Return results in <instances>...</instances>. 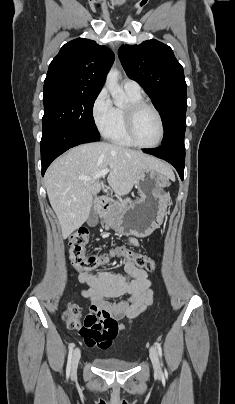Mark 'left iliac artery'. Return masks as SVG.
Returning a JSON list of instances; mask_svg holds the SVG:
<instances>
[{
  "instance_id": "44dca946",
  "label": "left iliac artery",
  "mask_w": 235,
  "mask_h": 404,
  "mask_svg": "<svg viewBox=\"0 0 235 404\" xmlns=\"http://www.w3.org/2000/svg\"><path fill=\"white\" fill-rule=\"evenodd\" d=\"M155 346H156V348H157V350H158V353H159L160 358H162V349H161L160 343H159V342H156V343H155ZM161 365L163 366V363H161Z\"/></svg>"
}]
</instances>
